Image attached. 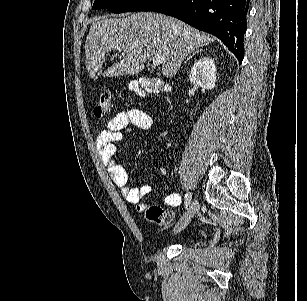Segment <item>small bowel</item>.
Instances as JSON below:
<instances>
[{"label": "small bowel", "instance_id": "c3829d8e", "mask_svg": "<svg viewBox=\"0 0 307 301\" xmlns=\"http://www.w3.org/2000/svg\"><path fill=\"white\" fill-rule=\"evenodd\" d=\"M151 125L152 119L146 112L139 108H131L117 113L107 122L105 128L96 138V147L113 182L119 188L124 199L130 204L137 205V210L140 212L146 208L142 199L150 194L151 186L149 184H143L139 187L130 186L126 169L116 161L114 156L117 151V143L122 141L124 132H130L133 129L147 130ZM165 176V168L160 167L155 174V180L159 181ZM181 201V196L178 193H172L166 197L165 204L169 207H177Z\"/></svg>", "mask_w": 307, "mask_h": 301}]
</instances>
